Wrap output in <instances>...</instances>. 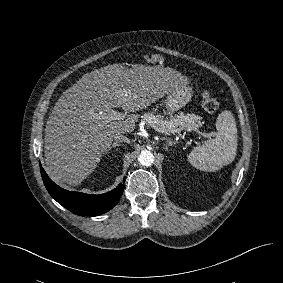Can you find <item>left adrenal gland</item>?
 I'll return each mask as SVG.
<instances>
[{
	"label": "left adrenal gland",
	"instance_id": "a2214340",
	"mask_svg": "<svg viewBox=\"0 0 283 283\" xmlns=\"http://www.w3.org/2000/svg\"><path fill=\"white\" fill-rule=\"evenodd\" d=\"M161 140H165V141H166V145H165L166 150H168V147H169V146H172V145L175 144V142L172 141V140H171L170 138H168V137H162Z\"/></svg>",
	"mask_w": 283,
	"mask_h": 283
}]
</instances>
